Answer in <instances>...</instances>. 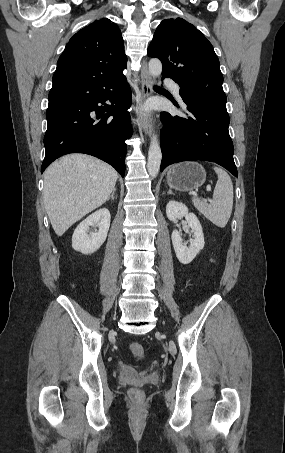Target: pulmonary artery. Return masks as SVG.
I'll use <instances>...</instances> for the list:
<instances>
[{"label":"pulmonary artery","instance_id":"e3ab8cb5","mask_svg":"<svg viewBox=\"0 0 285 453\" xmlns=\"http://www.w3.org/2000/svg\"><path fill=\"white\" fill-rule=\"evenodd\" d=\"M166 84L172 90L175 97L177 99L181 100L180 88H179L178 84L176 82H174L173 80H166Z\"/></svg>","mask_w":285,"mask_h":453}]
</instances>
